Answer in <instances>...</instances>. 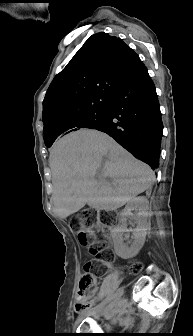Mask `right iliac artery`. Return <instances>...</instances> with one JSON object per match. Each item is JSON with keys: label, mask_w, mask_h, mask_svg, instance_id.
Wrapping results in <instances>:
<instances>
[{"label": "right iliac artery", "mask_w": 193, "mask_h": 336, "mask_svg": "<svg viewBox=\"0 0 193 336\" xmlns=\"http://www.w3.org/2000/svg\"><path fill=\"white\" fill-rule=\"evenodd\" d=\"M115 302H116V301H115ZM115 302L112 303V304H110L109 307H113V306L115 305ZM96 307H101V305H98V306H96ZM91 309H92V308H91V306H90L89 308L85 309V311H84L83 313H86V312H88V311L91 310Z\"/></svg>", "instance_id": "right-iliac-artery-1"}]
</instances>
